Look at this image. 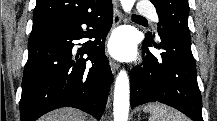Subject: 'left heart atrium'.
Instances as JSON below:
<instances>
[{"label": "left heart atrium", "mask_w": 217, "mask_h": 121, "mask_svg": "<svg viewBox=\"0 0 217 121\" xmlns=\"http://www.w3.org/2000/svg\"><path fill=\"white\" fill-rule=\"evenodd\" d=\"M110 50L117 57H129L133 53V45L130 37L123 32L117 34L110 43Z\"/></svg>", "instance_id": "1"}]
</instances>
